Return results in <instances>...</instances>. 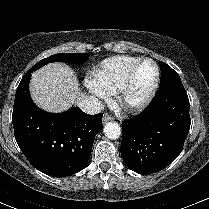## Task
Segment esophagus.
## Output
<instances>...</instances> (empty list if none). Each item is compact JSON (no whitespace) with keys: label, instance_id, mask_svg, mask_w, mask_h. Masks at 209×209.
I'll return each instance as SVG.
<instances>
[{"label":"esophagus","instance_id":"esophagus-1","mask_svg":"<svg viewBox=\"0 0 209 209\" xmlns=\"http://www.w3.org/2000/svg\"><path fill=\"white\" fill-rule=\"evenodd\" d=\"M112 120H113V117L110 116L109 114L106 113V114L103 115V118H102L103 124H105L109 121H112Z\"/></svg>","mask_w":209,"mask_h":209}]
</instances>
